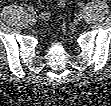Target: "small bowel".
<instances>
[{"label":"small bowel","instance_id":"c3829d8e","mask_svg":"<svg viewBox=\"0 0 111 106\" xmlns=\"http://www.w3.org/2000/svg\"><path fill=\"white\" fill-rule=\"evenodd\" d=\"M57 5L59 7H64L66 5V1L65 0H58ZM50 17H51V12L48 10L41 13V18L43 20H48Z\"/></svg>","mask_w":111,"mask_h":106}]
</instances>
